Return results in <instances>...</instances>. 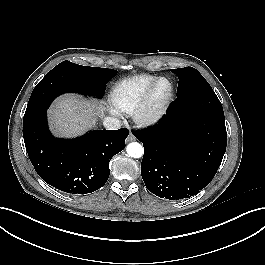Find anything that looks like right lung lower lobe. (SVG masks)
<instances>
[{
    "mask_svg": "<svg viewBox=\"0 0 265 265\" xmlns=\"http://www.w3.org/2000/svg\"><path fill=\"white\" fill-rule=\"evenodd\" d=\"M129 131L93 130L75 139L51 135L47 112L23 121V137L30 161L49 185L70 194H86L107 182L110 159L125 148Z\"/></svg>",
    "mask_w": 265,
    "mask_h": 265,
    "instance_id": "obj_1",
    "label": "right lung lower lobe"
}]
</instances>
